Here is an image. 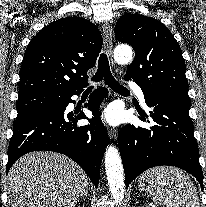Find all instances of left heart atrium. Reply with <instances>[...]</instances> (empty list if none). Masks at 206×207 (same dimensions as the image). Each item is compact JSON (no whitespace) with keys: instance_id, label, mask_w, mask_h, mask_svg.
<instances>
[{"instance_id":"1","label":"left heart atrium","mask_w":206,"mask_h":207,"mask_svg":"<svg viewBox=\"0 0 206 207\" xmlns=\"http://www.w3.org/2000/svg\"><path fill=\"white\" fill-rule=\"evenodd\" d=\"M101 119L110 126H116L121 122V111L115 106H108L102 112Z\"/></svg>"}]
</instances>
